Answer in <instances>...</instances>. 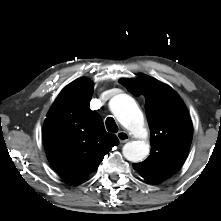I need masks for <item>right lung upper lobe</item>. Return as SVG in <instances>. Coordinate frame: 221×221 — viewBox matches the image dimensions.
<instances>
[{"label": "right lung upper lobe", "instance_id": "obj_1", "mask_svg": "<svg viewBox=\"0 0 221 221\" xmlns=\"http://www.w3.org/2000/svg\"><path fill=\"white\" fill-rule=\"evenodd\" d=\"M93 84L85 77L67 85L48 112L43 126L46 155L53 168L69 181L84 180L119 143L107 133L101 116L89 102Z\"/></svg>", "mask_w": 221, "mask_h": 221}]
</instances>
